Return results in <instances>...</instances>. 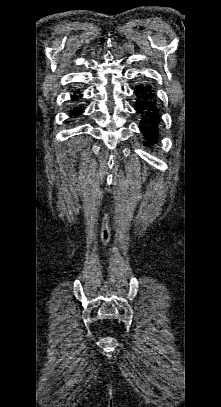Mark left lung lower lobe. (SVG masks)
<instances>
[{
	"mask_svg": "<svg viewBox=\"0 0 221 407\" xmlns=\"http://www.w3.org/2000/svg\"><path fill=\"white\" fill-rule=\"evenodd\" d=\"M135 110L140 116V130L147 145L156 144L160 129L161 115L158 97L154 88L145 80H140L135 86Z\"/></svg>",
	"mask_w": 221,
	"mask_h": 407,
	"instance_id": "1",
	"label": "left lung lower lobe"
}]
</instances>
